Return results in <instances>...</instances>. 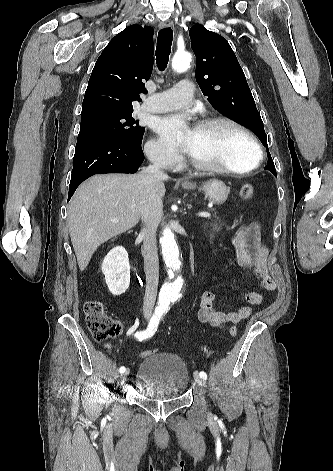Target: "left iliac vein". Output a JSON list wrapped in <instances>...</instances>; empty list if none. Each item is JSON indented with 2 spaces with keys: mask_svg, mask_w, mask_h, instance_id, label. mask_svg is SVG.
<instances>
[{
  "mask_svg": "<svg viewBox=\"0 0 333 471\" xmlns=\"http://www.w3.org/2000/svg\"><path fill=\"white\" fill-rule=\"evenodd\" d=\"M194 379H195L196 384H197L203 391H205L206 384H205L204 379H202L198 374H195V375H194Z\"/></svg>",
  "mask_w": 333,
  "mask_h": 471,
  "instance_id": "1",
  "label": "left iliac vein"
}]
</instances>
